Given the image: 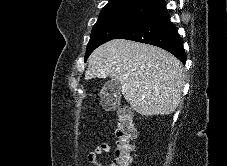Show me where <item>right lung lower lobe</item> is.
<instances>
[{
	"mask_svg": "<svg viewBox=\"0 0 227 166\" xmlns=\"http://www.w3.org/2000/svg\"><path fill=\"white\" fill-rule=\"evenodd\" d=\"M116 39H128L158 46L172 53L182 63L186 61L180 36L177 29L170 22V17L164 5Z\"/></svg>",
	"mask_w": 227,
	"mask_h": 166,
	"instance_id": "1",
	"label": "right lung lower lobe"
}]
</instances>
